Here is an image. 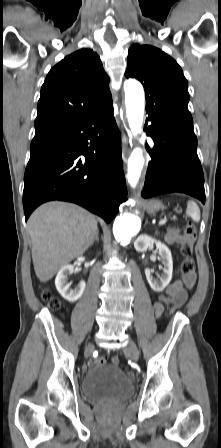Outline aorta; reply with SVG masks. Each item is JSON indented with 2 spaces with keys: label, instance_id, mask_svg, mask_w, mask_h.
<instances>
[{
  "label": "aorta",
  "instance_id": "aorta-1",
  "mask_svg": "<svg viewBox=\"0 0 221 448\" xmlns=\"http://www.w3.org/2000/svg\"><path fill=\"white\" fill-rule=\"evenodd\" d=\"M126 115L130 130L134 136L141 133L144 117L145 97L142 85L135 80L124 83ZM145 160L141 148H135L128 159L127 180L135 188L144 166ZM141 227L138 211L124 213L115 219L113 233L115 239L122 245H127L130 239Z\"/></svg>",
  "mask_w": 221,
  "mask_h": 448
}]
</instances>
